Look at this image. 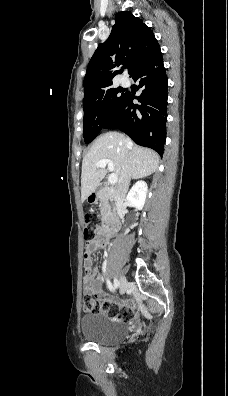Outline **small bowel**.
<instances>
[{
  "instance_id": "small-bowel-1",
  "label": "small bowel",
  "mask_w": 228,
  "mask_h": 396,
  "mask_svg": "<svg viewBox=\"0 0 228 396\" xmlns=\"http://www.w3.org/2000/svg\"><path fill=\"white\" fill-rule=\"evenodd\" d=\"M111 235L104 231V229H98L95 232L94 237L88 242L85 250L84 260L85 275L82 279L83 292L84 294L95 295L99 299L105 300L108 296L105 294L102 288V278L97 274L96 269L93 266L92 253L98 249L106 248L110 242ZM127 306H134L133 300H127L124 302Z\"/></svg>"
}]
</instances>
